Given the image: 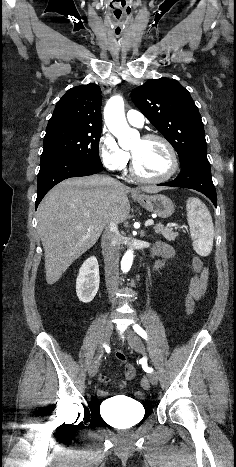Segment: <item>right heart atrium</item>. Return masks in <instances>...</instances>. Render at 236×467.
<instances>
[{
    "label": "right heart atrium",
    "instance_id": "obj_1",
    "mask_svg": "<svg viewBox=\"0 0 236 467\" xmlns=\"http://www.w3.org/2000/svg\"><path fill=\"white\" fill-rule=\"evenodd\" d=\"M102 164L111 172H123L130 162V155L122 149L116 139L108 132H103L98 144Z\"/></svg>",
    "mask_w": 236,
    "mask_h": 467
}]
</instances>
